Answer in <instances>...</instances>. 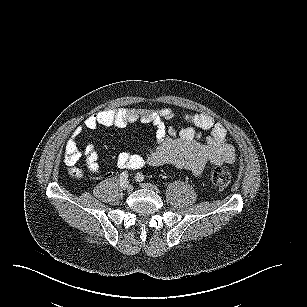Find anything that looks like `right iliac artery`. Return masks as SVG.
<instances>
[{
	"label": "right iliac artery",
	"instance_id": "82829eb1",
	"mask_svg": "<svg viewBox=\"0 0 307 307\" xmlns=\"http://www.w3.org/2000/svg\"><path fill=\"white\" fill-rule=\"evenodd\" d=\"M128 184V174L127 172H122L121 176H120V186L123 188V187H126Z\"/></svg>",
	"mask_w": 307,
	"mask_h": 307
}]
</instances>
